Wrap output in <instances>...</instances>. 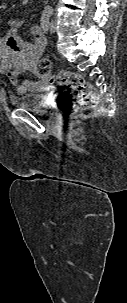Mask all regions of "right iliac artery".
I'll use <instances>...</instances> for the list:
<instances>
[{"mask_svg":"<svg viewBox=\"0 0 127 303\" xmlns=\"http://www.w3.org/2000/svg\"><path fill=\"white\" fill-rule=\"evenodd\" d=\"M49 19H50V16L42 15V17H41V27L44 30V32H48V30H49V25H50Z\"/></svg>","mask_w":127,"mask_h":303,"instance_id":"82829eb1","label":"right iliac artery"}]
</instances>
